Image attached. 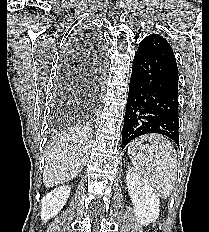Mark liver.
<instances>
[{
    "label": "liver",
    "instance_id": "obj_1",
    "mask_svg": "<svg viewBox=\"0 0 209 232\" xmlns=\"http://www.w3.org/2000/svg\"><path fill=\"white\" fill-rule=\"evenodd\" d=\"M89 150L90 136L84 128L61 133L45 158L44 185L54 187L76 177L87 163Z\"/></svg>",
    "mask_w": 209,
    "mask_h": 232
}]
</instances>
